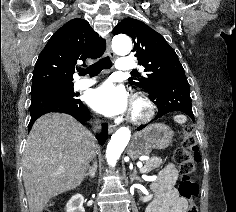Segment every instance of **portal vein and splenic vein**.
<instances>
[{
  "instance_id": "obj_1",
  "label": "portal vein and splenic vein",
  "mask_w": 236,
  "mask_h": 212,
  "mask_svg": "<svg viewBox=\"0 0 236 212\" xmlns=\"http://www.w3.org/2000/svg\"><path fill=\"white\" fill-rule=\"evenodd\" d=\"M144 159H146V160H147V159H149V158H148V157H146V158H144ZM137 166L140 168V170H141V172H142V170H143V168H144V167L142 166V163H138V165H137ZM59 171L61 172V171H62V169H60Z\"/></svg>"
}]
</instances>
